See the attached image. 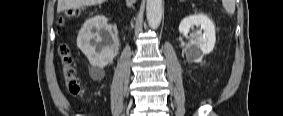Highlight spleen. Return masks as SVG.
Masks as SVG:
<instances>
[{
    "label": "spleen",
    "mask_w": 283,
    "mask_h": 116,
    "mask_svg": "<svg viewBox=\"0 0 283 116\" xmlns=\"http://www.w3.org/2000/svg\"><path fill=\"white\" fill-rule=\"evenodd\" d=\"M223 6L229 15H233L235 12V1L234 0H223Z\"/></svg>",
    "instance_id": "3e777b00"
}]
</instances>
